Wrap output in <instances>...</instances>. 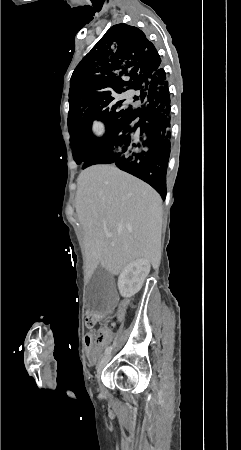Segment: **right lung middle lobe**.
Here are the masks:
<instances>
[{
    "instance_id": "1",
    "label": "right lung middle lobe",
    "mask_w": 241,
    "mask_h": 450,
    "mask_svg": "<svg viewBox=\"0 0 241 450\" xmlns=\"http://www.w3.org/2000/svg\"><path fill=\"white\" fill-rule=\"evenodd\" d=\"M69 104L70 133L81 121H87L91 125L92 120L99 119L106 125V135L119 125L135 120L145 107L141 96L129 98L118 88L96 85L73 76L70 80ZM142 139L140 135L134 136L132 141L120 148V155L131 150ZM100 140L94 138L93 142L97 144ZM73 157L77 164H84L87 160V157H82L80 154H73ZM86 167L84 166L83 169Z\"/></svg>"
}]
</instances>
